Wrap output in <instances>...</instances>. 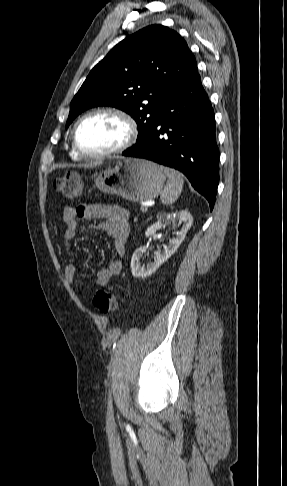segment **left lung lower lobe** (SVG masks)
I'll list each match as a JSON object with an SVG mask.
<instances>
[{
    "label": "left lung lower lobe",
    "mask_w": 287,
    "mask_h": 486,
    "mask_svg": "<svg viewBox=\"0 0 287 486\" xmlns=\"http://www.w3.org/2000/svg\"><path fill=\"white\" fill-rule=\"evenodd\" d=\"M122 155L181 171L213 209L219 183V150L214 111L198 69L170 92L152 128Z\"/></svg>",
    "instance_id": "0a47b994"
}]
</instances>
